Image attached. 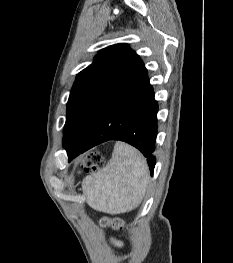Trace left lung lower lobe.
Listing matches in <instances>:
<instances>
[{"label": "left lung lower lobe", "instance_id": "left-lung-lower-lobe-1", "mask_svg": "<svg viewBox=\"0 0 233 263\" xmlns=\"http://www.w3.org/2000/svg\"><path fill=\"white\" fill-rule=\"evenodd\" d=\"M157 111L154 91L141 61L105 108L87 141L83 145L64 146L69 161L100 143L121 140L143 153L152 175L156 162Z\"/></svg>", "mask_w": 233, "mask_h": 263}]
</instances>
